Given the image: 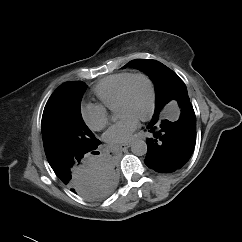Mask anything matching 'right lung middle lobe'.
<instances>
[{
  "label": "right lung middle lobe",
  "instance_id": "obj_1",
  "mask_svg": "<svg viewBox=\"0 0 242 242\" xmlns=\"http://www.w3.org/2000/svg\"><path fill=\"white\" fill-rule=\"evenodd\" d=\"M67 83L54 91L42 116L43 144L49 163L60 157L89 151L100 143L81 115V99L88 86L80 81Z\"/></svg>",
  "mask_w": 242,
  "mask_h": 242
}]
</instances>
